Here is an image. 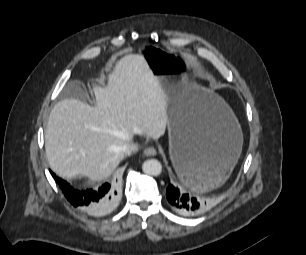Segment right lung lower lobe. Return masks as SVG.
<instances>
[{
    "instance_id": "right-lung-lower-lobe-1",
    "label": "right lung lower lobe",
    "mask_w": 306,
    "mask_h": 255,
    "mask_svg": "<svg viewBox=\"0 0 306 255\" xmlns=\"http://www.w3.org/2000/svg\"><path fill=\"white\" fill-rule=\"evenodd\" d=\"M52 176L59 184L67 200L79 210L93 216H101L108 213L117 203L119 198L117 185L105 183L97 190H75L66 181Z\"/></svg>"
}]
</instances>
